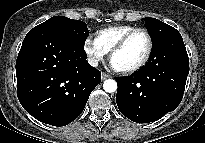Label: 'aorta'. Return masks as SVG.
Returning <instances> with one entry per match:
<instances>
[{
    "label": "aorta",
    "mask_w": 205,
    "mask_h": 143,
    "mask_svg": "<svg viewBox=\"0 0 205 143\" xmlns=\"http://www.w3.org/2000/svg\"><path fill=\"white\" fill-rule=\"evenodd\" d=\"M103 89L108 93H113L117 90V83L113 79H107L103 83Z\"/></svg>",
    "instance_id": "obj_1"
}]
</instances>
